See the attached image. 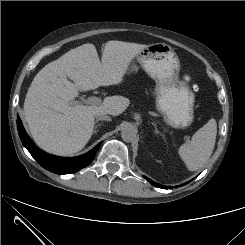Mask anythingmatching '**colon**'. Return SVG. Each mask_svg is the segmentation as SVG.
Listing matches in <instances>:
<instances>
[{
  "label": "colon",
  "instance_id": "colon-1",
  "mask_svg": "<svg viewBox=\"0 0 245 245\" xmlns=\"http://www.w3.org/2000/svg\"><path fill=\"white\" fill-rule=\"evenodd\" d=\"M194 89H197V86H193Z\"/></svg>",
  "mask_w": 245,
  "mask_h": 245
}]
</instances>
